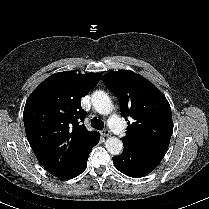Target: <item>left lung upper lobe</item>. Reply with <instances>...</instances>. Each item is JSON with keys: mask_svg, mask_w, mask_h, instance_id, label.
I'll return each mask as SVG.
<instances>
[{"mask_svg": "<svg viewBox=\"0 0 209 209\" xmlns=\"http://www.w3.org/2000/svg\"><path fill=\"white\" fill-rule=\"evenodd\" d=\"M118 98L121 115L128 122L124 148L164 156L173 133L170 105L166 97L147 79L120 70L102 77Z\"/></svg>", "mask_w": 209, "mask_h": 209, "instance_id": "5c2ea615", "label": "left lung upper lobe"}]
</instances>
